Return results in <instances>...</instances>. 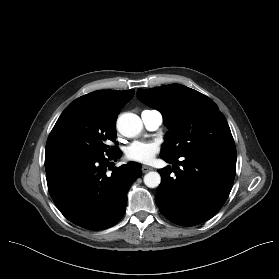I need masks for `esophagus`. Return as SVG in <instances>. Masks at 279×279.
<instances>
[{"instance_id": "obj_1", "label": "esophagus", "mask_w": 279, "mask_h": 279, "mask_svg": "<svg viewBox=\"0 0 279 279\" xmlns=\"http://www.w3.org/2000/svg\"><path fill=\"white\" fill-rule=\"evenodd\" d=\"M151 170H153L152 167H149V166H142V171H143V173H147V172H149V171H151Z\"/></svg>"}]
</instances>
